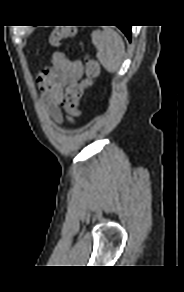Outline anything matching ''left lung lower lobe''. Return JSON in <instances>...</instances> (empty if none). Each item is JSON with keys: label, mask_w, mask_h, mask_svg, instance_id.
<instances>
[{"label": "left lung lower lobe", "mask_w": 184, "mask_h": 292, "mask_svg": "<svg viewBox=\"0 0 184 292\" xmlns=\"http://www.w3.org/2000/svg\"><path fill=\"white\" fill-rule=\"evenodd\" d=\"M119 28L123 31V33L127 36V38L131 40V26H122Z\"/></svg>", "instance_id": "obj_1"}]
</instances>
